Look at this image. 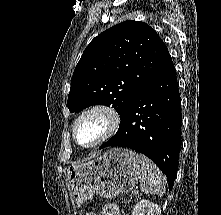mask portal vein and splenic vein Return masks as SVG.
I'll list each match as a JSON object with an SVG mask.
<instances>
[{"instance_id": "18ae733b", "label": "portal vein and splenic vein", "mask_w": 221, "mask_h": 215, "mask_svg": "<svg viewBox=\"0 0 221 215\" xmlns=\"http://www.w3.org/2000/svg\"><path fill=\"white\" fill-rule=\"evenodd\" d=\"M133 194H135V195H136V191H134V192H133Z\"/></svg>"}]
</instances>
